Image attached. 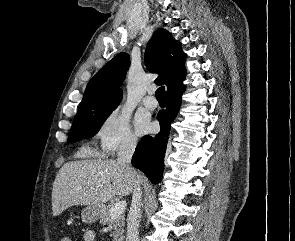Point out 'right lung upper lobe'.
Segmentation results:
<instances>
[{"label":"right lung upper lobe","instance_id":"cb5924a9","mask_svg":"<svg viewBox=\"0 0 295 241\" xmlns=\"http://www.w3.org/2000/svg\"><path fill=\"white\" fill-rule=\"evenodd\" d=\"M185 58L181 44L167 30L159 28L154 32L146 48L145 64L150 72L159 74L156 83L165 84L167 91L181 85L186 76ZM128 67L129 55L124 52L106 63L87 84L79 109L120 101L119 86Z\"/></svg>","mask_w":295,"mask_h":241}]
</instances>
